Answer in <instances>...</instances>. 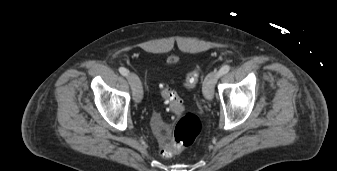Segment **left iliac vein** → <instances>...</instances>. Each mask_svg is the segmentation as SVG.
I'll return each mask as SVG.
<instances>
[{
    "mask_svg": "<svg viewBox=\"0 0 337 171\" xmlns=\"http://www.w3.org/2000/svg\"><path fill=\"white\" fill-rule=\"evenodd\" d=\"M218 72L209 73L203 83V94L205 98L211 101L214 97V86L218 80Z\"/></svg>",
    "mask_w": 337,
    "mask_h": 171,
    "instance_id": "4c4485c4",
    "label": "left iliac vein"
}]
</instances>
